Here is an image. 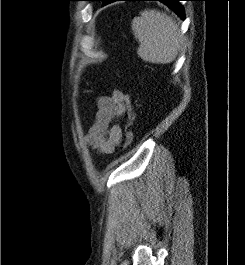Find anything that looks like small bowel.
Listing matches in <instances>:
<instances>
[{
	"label": "small bowel",
	"mask_w": 245,
	"mask_h": 265,
	"mask_svg": "<svg viewBox=\"0 0 245 265\" xmlns=\"http://www.w3.org/2000/svg\"><path fill=\"white\" fill-rule=\"evenodd\" d=\"M96 108L94 122L84 141L91 149L101 154H111L122 139V128L118 121L128 109L124 103V93L114 89L110 95L97 97ZM112 120L117 122L110 126Z\"/></svg>",
	"instance_id": "small-bowel-1"
}]
</instances>
